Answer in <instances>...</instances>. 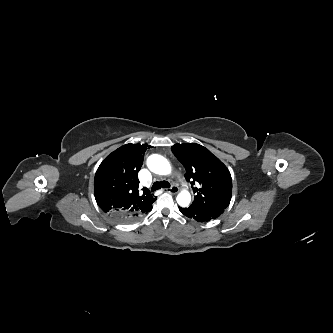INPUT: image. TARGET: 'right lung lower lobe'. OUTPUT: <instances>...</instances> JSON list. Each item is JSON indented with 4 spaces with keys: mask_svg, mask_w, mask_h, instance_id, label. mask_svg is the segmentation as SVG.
I'll return each mask as SVG.
<instances>
[{
    "mask_svg": "<svg viewBox=\"0 0 333 333\" xmlns=\"http://www.w3.org/2000/svg\"><path fill=\"white\" fill-rule=\"evenodd\" d=\"M151 209H152V205L149 206V207L144 208L143 210H141L138 213H133V214H118V215H115V216H112V217H114L115 219H117L119 221L135 220V219L141 217L143 214H145L147 212H150Z\"/></svg>",
    "mask_w": 333,
    "mask_h": 333,
    "instance_id": "obj_1",
    "label": "right lung lower lobe"
}]
</instances>
